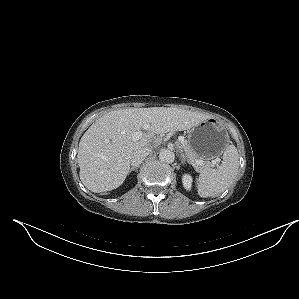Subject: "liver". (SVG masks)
<instances>
[{
  "mask_svg": "<svg viewBox=\"0 0 299 299\" xmlns=\"http://www.w3.org/2000/svg\"><path fill=\"white\" fill-rule=\"evenodd\" d=\"M210 116L177 108L150 107L114 110L97 119L79 142L80 179L92 192L118 188L125 181L132 154L151 148L155 135L193 128ZM148 130L139 140L132 135Z\"/></svg>",
  "mask_w": 299,
  "mask_h": 299,
  "instance_id": "obj_1",
  "label": "liver"
}]
</instances>
